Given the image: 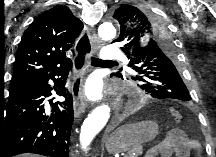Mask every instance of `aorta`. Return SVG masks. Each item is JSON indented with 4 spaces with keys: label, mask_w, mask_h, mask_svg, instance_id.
Segmentation results:
<instances>
[{
    "label": "aorta",
    "mask_w": 216,
    "mask_h": 157,
    "mask_svg": "<svg viewBox=\"0 0 216 157\" xmlns=\"http://www.w3.org/2000/svg\"><path fill=\"white\" fill-rule=\"evenodd\" d=\"M99 37L108 41L116 36V29L110 22H104L98 29ZM110 118V108L107 105L96 107L91 114L84 120L81 127L80 143L86 149L94 137L104 128Z\"/></svg>",
    "instance_id": "1"
}]
</instances>
